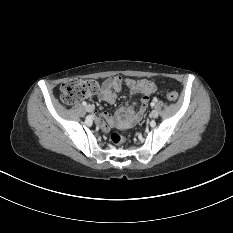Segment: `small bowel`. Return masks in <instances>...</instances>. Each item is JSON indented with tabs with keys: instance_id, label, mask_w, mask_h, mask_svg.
Returning a JSON list of instances; mask_svg holds the SVG:
<instances>
[{
	"instance_id": "1",
	"label": "small bowel",
	"mask_w": 233,
	"mask_h": 233,
	"mask_svg": "<svg viewBox=\"0 0 233 233\" xmlns=\"http://www.w3.org/2000/svg\"><path fill=\"white\" fill-rule=\"evenodd\" d=\"M123 86L129 89L131 95L141 94V98L136 106L128 104L120 108L116 113V118L126 119L130 122L138 121L147 108L150 95L156 89L155 83L153 80H136L121 76L111 77L103 82L99 91V98L108 104H114L117 94L122 90ZM97 123L102 129L108 130L113 123V119L106 113H100L97 116Z\"/></svg>"
}]
</instances>
